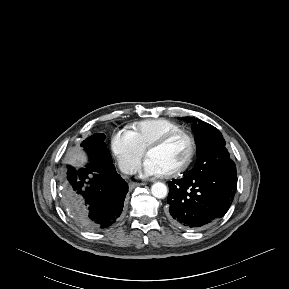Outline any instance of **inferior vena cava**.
<instances>
[{
    "label": "inferior vena cava",
    "mask_w": 289,
    "mask_h": 289,
    "mask_svg": "<svg viewBox=\"0 0 289 289\" xmlns=\"http://www.w3.org/2000/svg\"><path fill=\"white\" fill-rule=\"evenodd\" d=\"M121 170L123 173L133 174V172L135 170V166L133 164H128L125 167H123Z\"/></svg>",
    "instance_id": "obj_1"
}]
</instances>
